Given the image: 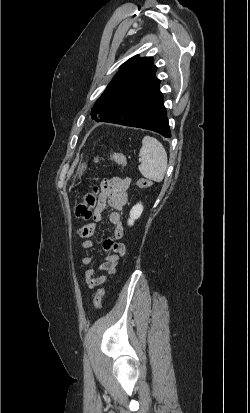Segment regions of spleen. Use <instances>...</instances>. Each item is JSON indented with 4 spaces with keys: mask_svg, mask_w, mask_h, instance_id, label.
<instances>
[{
    "mask_svg": "<svg viewBox=\"0 0 250 413\" xmlns=\"http://www.w3.org/2000/svg\"><path fill=\"white\" fill-rule=\"evenodd\" d=\"M140 173L147 179L161 182L167 170V153L163 145L154 137L145 136L140 149Z\"/></svg>",
    "mask_w": 250,
    "mask_h": 413,
    "instance_id": "obj_1",
    "label": "spleen"
}]
</instances>
